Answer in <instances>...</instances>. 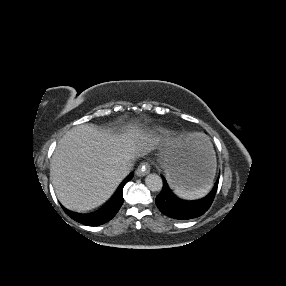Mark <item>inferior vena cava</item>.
Masks as SVG:
<instances>
[{
	"label": "inferior vena cava",
	"instance_id": "1",
	"mask_svg": "<svg viewBox=\"0 0 286 286\" xmlns=\"http://www.w3.org/2000/svg\"><path fill=\"white\" fill-rule=\"evenodd\" d=\"M132 166V159L124 160L120 165L117 166L116 174L121 178H125L130 173Z\"/></svg>",
	"mask_w": 286,
	"mask_h": 286
}]
</instances>
